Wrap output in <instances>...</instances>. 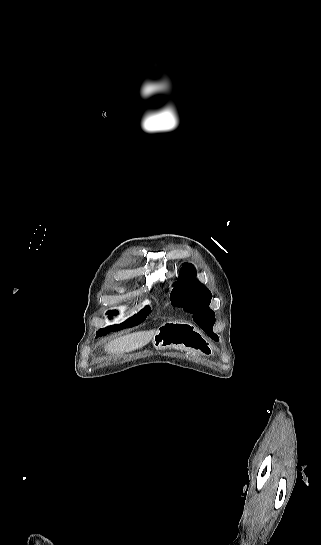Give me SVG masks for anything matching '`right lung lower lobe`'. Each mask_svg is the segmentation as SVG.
<instances>
[{"instance_id": "obj_1", "label": "right lung lower lobe", "mask_w": 321, "mask_h": 545, "mask_svg": "<svg viewBox=\"0 0 321 545\" xmlns=\"http://www.w3.org/2000/svg\"><path fill=\"white\" fill-rule=\"evenodd\" d=\"M108 313L115 314V312H108ZM107 332H108V330H102V329H100V330L97 332V336L105 335Z\"/></svg>"}]
</instances>
